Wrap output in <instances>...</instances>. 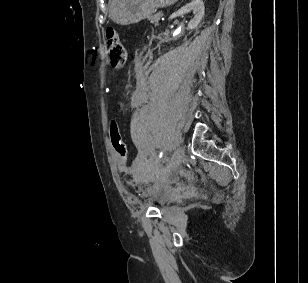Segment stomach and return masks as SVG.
<instances>
[{
    "instance_id": "obj_1",
    "label": "stomach",
    "mask_w": 308,
    "mask_h": 283,
    "mask_svg": "<svg viewBox=\"0 0 308 283\" xmlns=\"http://www.w3.org/2000/svg\"><path fill=\"white\" fill-rule=\"evenodd\" d=\"M177 0H111L109 17L119 25H129L150 17L157 8L172 5Z\"/></svg>"
}]
</instances>
